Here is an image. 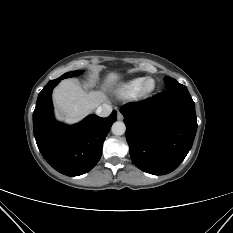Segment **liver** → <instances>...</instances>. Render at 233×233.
<instances>
[{"label":"liver","mask_w":233,"mask_h":233,"mask_svg":"<svg viewBox=\"0 0 233 233\" xmlns=\"http://www.w3.org/2000/svg\"><path fill=\"white\" fill-rule=\"evenodd\" d=\"M118 78L116 73H110L107 76V86L114 84ZM106 100V88L85 92L81 86L69 79L61 81L53 91L57 115L67 123L79 121Z\"/></svg>","instance_id":"6515ba94"}]
</instances>
